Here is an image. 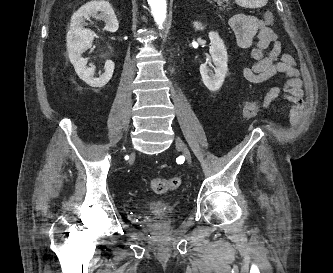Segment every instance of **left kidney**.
<instances>
[{"label": "left kidney", "instance_id": "left-kidney-1", "mask_svg": "<svg viewBox=\"0 0 333 273\" xmlns=\"http://www.w3.org/2000/svg\"><path fill=\"white\" fill-rule=\"evenodd\" d=\"M194 27L196 30L204 29L199 22H194ZM209 39L211 41L209 52L215 65L214 72L209 68L208 63H204L200 66V74L204 85L210 91H217L221 88L228 72V55L224 42L217 32H209Z\"/></svg>", "mask_w": 333, "mask_h": 273}]
</instances>
